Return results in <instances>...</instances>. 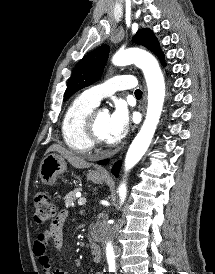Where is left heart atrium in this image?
I'll use <instances>...</instances> for the list:
<instances>
[{
  "instance_id": "left-heart-atrium-1",
  "label": "left heart atrium",
  "mask_w": 215,
  "mask_h": 274,
  "mask_svg": "<svg viewBox=\"0 0 215 274\" xmlns=\"http://www.w3.org/2000/svg\"><path fill=\"white\" fill-rule=\"evenodd\" d=\"M129 127V113L126 106L118 103L108 117L107 140L117 142L127 133Z\"/></svg>"
}]
</instances>
